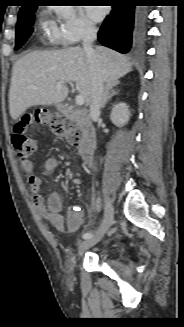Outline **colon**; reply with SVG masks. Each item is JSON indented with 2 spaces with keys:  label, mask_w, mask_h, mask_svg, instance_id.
<instances>
[{
  "label": "colon",
  "mask_w": 184,
  "mask_h": 327,
  "mask_svg": "<svg viewBox=\"0 0 184 327\" xmlns=\"http://www.w3.org/2000/svg\"><path fill=\"white\" fill-rule=\"evenodd\" d=\"M32 124H40L49 127L51 133L65 140L71 145L79 143L76 129L67 121L66 115L61 111L50 112L39 109L34 113L23 117L14 127L12 145L18 158L24 163L38 151L37 140L31 133Z\"/></svg>",
  "instance_id": "obj_1"
}]
</instances>
